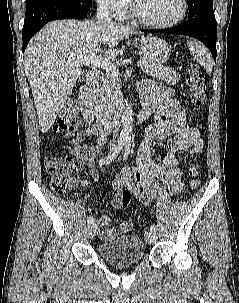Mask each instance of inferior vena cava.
I'll use <instances>...</instances> for the list:
<instances>
[{"label": "inferior vena cava", "mask_w": 239, "mask_h": 303, "mask_svg": "<svg viewBox=\"0 0 239 303\" xmlns=\"http://www.w3.org/2000/svg\"><path fill=\"white\" fill-rule=\"evenodd\" d=\"M109 13L108 5L102 3L97 8L96 18L98 21L111 22L112 19Z\"/></svg>", "instance_id": "obj_1"}]
</instances>
